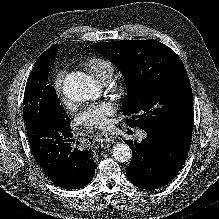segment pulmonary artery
<instances>
[{"instance_id":"pulmonary-artery-1","label":"pulmonary artery","mask_w":219,"mask_h":219,"mask_svg":"<svg viewBox=\"0 0 219 219\" xmlns=\"http://www.w3.org/2000/svg\"><path fill=\"white\" fill-rule=\"evenodd\" d=\"M109 79H110V78H103V79H101V80L99 81V83L102 84V85H105L106 83H108ZM138 137H139L140 139H142V138L144 137V133H143V132L139 133Z\"/></svg>"}]
</instances>
